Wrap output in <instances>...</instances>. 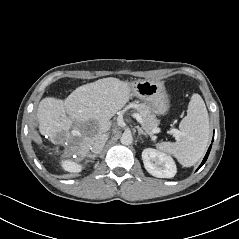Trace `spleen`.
<instances>
[{
    "label": "spleen",
    "mask_w": 239,
    "mask_h": 239,
    "mask_svg": "<svg viewBox=\"0 0 239 239\" xmlns=\"http://www.w3.org/2000/svg\"><path fill=\"white\" fill-rule=\"evenodd\" d=\"M179 129L176 142H161L157 149L173 155L182 166L190 167L204 155L210 136L208 112L199 94L192 95Z\"/></svg>",
    "instance_id": "3e777b00"
}]
</instances>
